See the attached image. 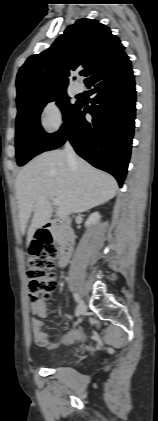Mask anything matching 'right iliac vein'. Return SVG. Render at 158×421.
Instances as JSON below:
<instances>
[{"instance_id":"1","label":"right iliac vein","mask_w":158,"mask_h":421,"mask_svg":"<svg viewBox=\"0 0 158 421\" xmlns=\"http://www.w3.org/2000/svg\"><path fill=\"white\" fill-rule=\"evenodd\" d=\"M84 309H85L84 301L80 299L77 309H76V316H80L84 312Z\"/></svg>"}]
</instances>
